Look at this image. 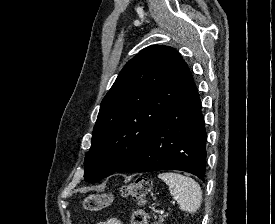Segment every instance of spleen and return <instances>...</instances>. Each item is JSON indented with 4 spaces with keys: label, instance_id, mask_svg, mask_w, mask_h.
I'll list each match as a JSON object with an SVG mask.
<instances>
[{
    "label": "spleen",
    "instance_id": "3e777b00",
    "mask_svg": "<svg viewBox=\"0 0 275 224\" xmlns=\"http://www.w3.org/2000/svg\"><path fill=\"white\" fill-rule=\"evenodd\" d=\"M158 177L169 186L170 193L178 199L181 210L194 214L199 209L202 192L194 179L172 172L160 173Z\"/></svg>",
    "mask_w": 275,
    "mask_h": 224
}]
</instances>
